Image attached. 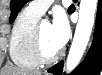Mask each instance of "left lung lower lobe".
<instances>
[{"mask_svg": "<svg viewBox=\"0 0 102 75\" xmlns=\"http://www.w3.org/2000/svg\"><path fill=\"white\" fill-rule=\"evenodd\" d=\"M74 9L72 8L70 13ZM101 34H102V1H98V10L96 16V27L93 37L92 45L85 57V60L75 68V70L70 75H99V71L102 66L101 59ZM64 62L60 61L53 67H51L48 72L61 75L63 71Z\"/></svg>", "mask_w": 102, "mask_h": 75, "instance_id": "0a47b994", "label": "left lung lower lobe"}]
</instances>
